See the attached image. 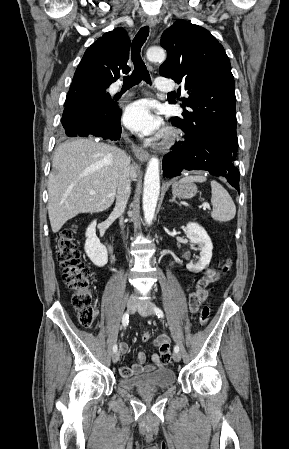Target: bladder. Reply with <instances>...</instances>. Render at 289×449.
<instances>
[{
  "label": "bladder",
  "mask_w": 289,
  "mask_h": 449,
  "mask_svg": "<svg viewBox=\"0 0 289 449\" xmlns=\"http://www.w3.org/2000/svg\"><path fill=\"white\" fill-rule=\"evenodd\" d=\"M175 381L176 375L172 369L161 368L149 373L120 378L118 385L128 391L165 389L171 387Z\"/></svg>",
  "instance_id": "obj_1"
}]
</instances>
